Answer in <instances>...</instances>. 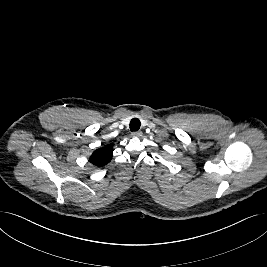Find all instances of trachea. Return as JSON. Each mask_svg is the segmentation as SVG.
Wrapping results in <instances>:
<instances>
[{
	"label": "trachea",
	"mask_w": 267,
	"mask_h": 267,
	"mask_svg": "<svg viewBox=\"0 0 267 267\" xmlns=\"http://www.w3.org/2000/svg\"><path fill=\"white\" fill-rule=\"evenodd\" d=\"M140 120L138 118H133L130 121V130L133 131H138L140 129Z\"/></svg>",
	"instance_id": "obj_1"
}]
</instances>
